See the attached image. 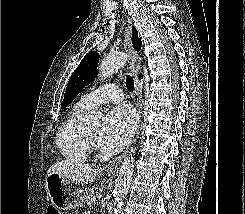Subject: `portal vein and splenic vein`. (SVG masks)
<instances>
[{
    "label": "portal vein and splenic vein",
    "instance_id": "1",
    "mask_svg": "<svg viewBox=\"0 0 245 214\" xmlns=\"http://www.w3.org/2000/svg\"><path fill=\"white\" fill-rule=\"evenodd\" d=\"M102 197V195L99 193L98 195H97V198H101Z\"/></svg>",
    "mask_w": 245,
    "mask_h": 214
}]
</instances>
